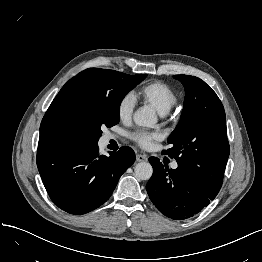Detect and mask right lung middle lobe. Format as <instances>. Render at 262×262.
<instances>
[{
    "mask_svg": "<svg viewBox=\"0 0 262 262\" xmlns=\"http://www.w3.org/2000/svg\"><path fill=\"white\" fill-rule=\"evenodd\" d=\"M146 76L112 70L106 80L75 83L61 111L64 138L97 144L102 135L101 127L119 123L122 99Z\"/></svg>",
    "mask_w": 262,
    "mask_h": 262,
    "instance_id": "obj_1",
    "label": "right lung middle lobe"
}]
</instances>
